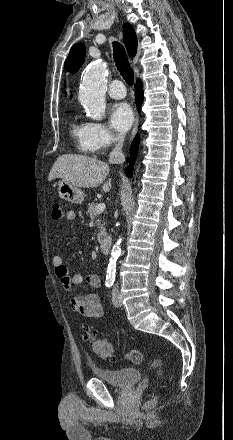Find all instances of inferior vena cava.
<instances>
[{
    "instance_id": "inferior-vena-cava-1",
    "label": "inferior vena cava",
    "mask_w": 233,
    "mask_h": 440,
    "mask_svg": "<svg viewBox=\"0 0 233 440\" xmlns=\"http://www.w3.org/2000/svg\"><path fill=\"white\" fill-rule=\"evenodd\" d=\"M115 147L110 153V163L122 164L125 160V156L122 152V146L124 137L122 135H116L114 137Z\"/></svg>"
}]
</instances>
